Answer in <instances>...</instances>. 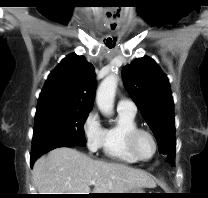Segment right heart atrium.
<instances>
[{"mask_svg":"<svg viewBox=\"0 0 208 198\" xmlns=\"http://www.w3.org/2000/svg\"><path fill=\"white\" fill-rule=\"evenodd\" d=\"M83 133L90 152H96L102 147L104 128L96 111H91L83 122Z\"/></svg>","mask_w":208,"mask_h":198,"instance_id":"1","label":"right heart atrium"}]
</instances>
